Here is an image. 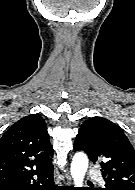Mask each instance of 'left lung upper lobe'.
Returning a JSON list of instances; mask_svg holds the SVG:
<instances>
[{
    "mask_svg": "<svg viewBox=\"0 0 135 190\" xmlns=\"http://www.w3.org/2000/svg\"><path fill=\"white\" fill-rule=\"evenodd\" d=\"M74 149L100 162L106 182L102 190H135V151L126 135L113 122L93 117L80 127Z\"/></svg>",
    "mask_w": 135,
    "mask_h": 190,
    "instance_id": "left-lung-upper-lobe-1",
    "label": "left lung upper lobe"
}]
</instances>
